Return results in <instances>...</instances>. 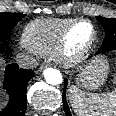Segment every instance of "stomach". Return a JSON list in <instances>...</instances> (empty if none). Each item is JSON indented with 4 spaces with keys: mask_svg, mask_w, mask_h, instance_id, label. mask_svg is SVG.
I'll return each mask as SVG.
<instances>
[{
    "mask_svg": "<svg viewBox=\"0 0 116 116\" xmlns=\"http://www.w3.org/2000/svg\"><path fill=\"white\" fill-rule=\"evenodd\" d=\"M108 70L109 66L104 58H95L81 69L77 83L86 89H97L105 82Z\"/></svg>",
    "mask_w": 116,
    "mask_h": 116,
    "instance_id": "0dacf381",
    "label": "stomach"
}]
</instances>
